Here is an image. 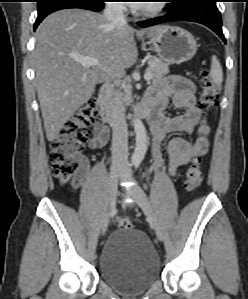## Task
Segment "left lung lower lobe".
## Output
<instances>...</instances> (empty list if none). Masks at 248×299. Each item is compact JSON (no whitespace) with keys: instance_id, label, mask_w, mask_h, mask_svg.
Wrapping results in <instances>:
<instances>
[{"instance_id":"0a47b994","label":"left lung lower lobe","mask_w":248,"mask_h":299,"mask_svg":"<svg viewBox=\"0 0 248 299\" xmlns=\"http://www.w3.org/2000/svg\"><path fill=\"white\" fill-rule=\"evenodd\" d=\"M168 13L162 17L139 22L140 27H149L169 21H191L212 29L225 43L221 30V15L216 7L217 0H170Z\"/></svg>"}]
</instances>
